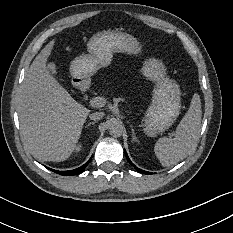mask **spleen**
<instances>
[{"label": "spleen", "instance_id": "1", "mask_svg": "<svg viewBox=\"0 0 233 233\" xmlns=\"http://www.w3.org/2000/svg\"><path fill=\"white\" fill-rule=\"evenodd\" d=\"M201 100L196 92L190 106L176 128V136L160 137L155 145V153L164 166H173L184 159L194 149L201 132Z\"/></svg>", "mask_w": 233, "mask_h": 233}]
</instances>
